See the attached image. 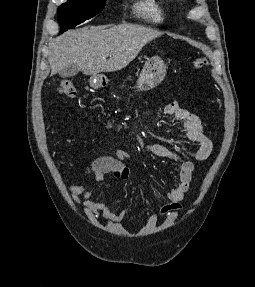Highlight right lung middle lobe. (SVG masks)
I'll use <instances>...</instances> for the list:
<instances>
[{"label":"right lung middle lobe","mask_w":255,"mask_h":287,"mask_svg":"<svg viewBox=\"0 0 255 287\" xmlns=\"http://www.w3.org/2000/svg\"><path fill=\"white\" fill-rule=\"evenodd\" d=\"M106 0H68L58 9L61 33L71 29L101 12Z\"/></svg>","instance_id":"right-lung-middle-lobe-1"}]
</instances>
